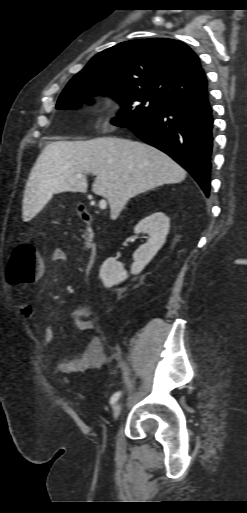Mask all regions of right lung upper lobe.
Segmentation results:
<instances>
[{
    "instance_id": "1",
    "label": "right lung upper lobe",
    "mask_w": 247,
    "mask_h": 513,
    "mask_svg": "<svg viewBox=\"0 0 247 513\" xmlns=\"http://www.w3.org/2000/svg\"><path fill=\"white\" fill-rule=\"evenodd\" d=\"M71 80L126 87L168 104L207 96L198 56L186 44L165 38L119 43L95 55Z\"/></svg>"
}]
</instances>
